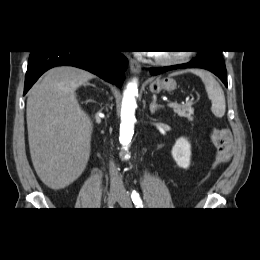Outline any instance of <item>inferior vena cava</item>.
<instances>
[{
	"mask_svg": "<svg viewBox=\"0 0 260 260\" xmlns=\"http://www.w3.org/2000/svg\"><path fill=\"white\" fill-rule=\"evenodd\" d=\"M111 187L123 189V182L119 178L114 162L110 161Z\"/></svg>",
	"mask_w": 260,
	"mask_h": 260,
	"instance_id": "1",
	"label": "inferior vena cava"
}]
</instances>
